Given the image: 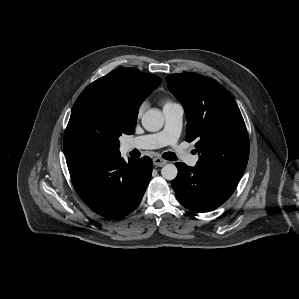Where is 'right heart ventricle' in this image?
<instances>
[{"label":"right heart ventricle","mask_w":299,"mask_h":299,"mask_svg":"<svg viewBox=\"0 0 299 299\" xmlns=\"http://www.w3.org/2000/svg\"><path fill=\"white\" fill-rule=\"evenodd\" d=\"M169 104H171L170 101H166V102H165V106H166V105H169Z\"/></svg>","instance_id":"1"}]
</instances>
